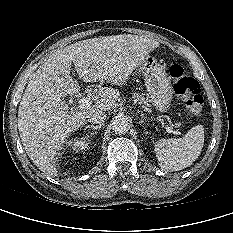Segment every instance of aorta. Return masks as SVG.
Returning <instances> with one entry per match:
<instances>
[{
    "instance_id": "762f6f07",
    "label": "aorta",
    "mask_w": 233,
    "mask_h": 233,
    "mask_svg": "<svg viewBox=\"0 0 233 233\" xmlns=\"http://www.w3.org/2000/svg\"><path fill=\"white\" fill-rule=\"evenodd\" d=\"M130 129V123L125 117H116L112 121V130L115 134H126Z\"/></svg>"
}]
</instances>
